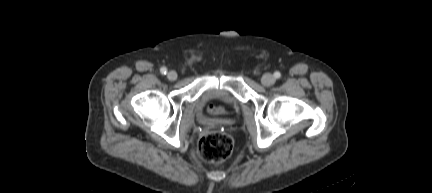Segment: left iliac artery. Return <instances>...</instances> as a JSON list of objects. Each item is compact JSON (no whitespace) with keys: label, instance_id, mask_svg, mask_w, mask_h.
<instances>
[{"label":"left iliac artery","instance_id":"obj_1","mask_svg":"<svg viewBox=\"0 0 432 193\" xmlns=\"http://www.w3.org/2000/svg\"><path fill=\"white\" fill-rule=\"evenodd\" d=\"M274 77L277 78V79H279V78L281 77L280 72L276 71V72L274 73Z\"/></svg>","mask_w":432,"mask_h":193}]
</instances>
